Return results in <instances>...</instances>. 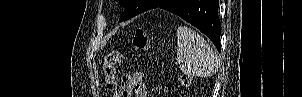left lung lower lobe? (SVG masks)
I'll list each match as a JSON object with an SVG mask.
<instances>
[{
    "mask_svg": "<svg viewBox=\"0 0 302 97\" xmlns=\"http://www.w3.org/2000/svg\"><path fill=\"white\" fill-rule=\"evenodd\" d=\"M218 4V0H154L147 10L158 7L180 16L207 35L220 51Z\"/></svg>",
    "mask_w": 302,
    "mask_h": 97,
    "instance_id": "left-lung-lower-lobe-1",
    "label": "left lung lower lobe"
}]
</instances>
